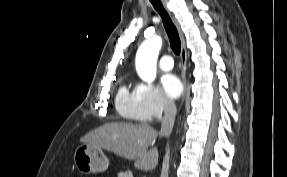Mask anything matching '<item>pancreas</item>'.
Here are the masks:
<instances>
[{
  "mask_svg": "<svg viewBox=\"0 0 287 177\" xmlns=\"http://www.w3.org/2000/svg\"><path fill=\"white\" fill-rule=\"evenodd\" d=\"M118 177H133V175L131 171H125L118 173Z\"/></svg>",
  "mask_w": 287,
  "mask_h": 177,
  "instance_id": "cf45deb5",
  "label": "pancreas"
}]
</instances>
